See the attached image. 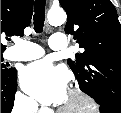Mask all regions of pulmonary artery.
Segmentation results:
<instances>
[{
  "mask_svg": "<svg viewBox=\"0 0 121 113\" xmlns=\"http://www.w3.org/2000/svg\"><path fill=\"white\" fill-rule=\"evenodd\" d=\"M65 38V34L54 33L48 44L52 50H64L66 46ZM44 53L45 51L38 44L22 41L8 50L7 58L16 61H30L42 57Z\"/></svg>",
  "mask_w": 121,
  "mask_h": 113,
  "instance_id": "e3ab8cb5",
  "label": "pulmonary artery"
}]
</instances>
